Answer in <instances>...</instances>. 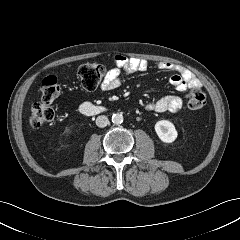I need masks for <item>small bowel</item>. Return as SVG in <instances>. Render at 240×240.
<instances>
[{"label": "small bowel", "mask_w": 240, "mask_h": 240, "mask_svg": "<svg viewBox=\"0 0 240 240\" xmlns=\"http://www.w3.org/2000/svg\"><path fill=\"white\" fill-rule=\"evenodd\" d=\"M115 67L110 69L101 83V91H110L117 88L123 75L145 72L149 68L146 60L116 55L113 58ZM155 67L163 72H171L170 83L178 91L200 87V81L187 69L167 62L159 61ZM182 107V99L178 95H167L157 100L149 101L145 108L155 112H176Z\"/></svg>", "instance_id": "c3829d8e"}]
</instances>
